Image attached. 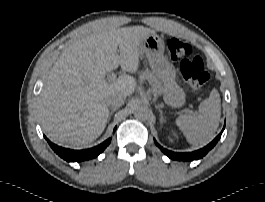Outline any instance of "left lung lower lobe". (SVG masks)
Returning <instances> with one entry per match:
<instances>
[{
    "label": "left lung lower lobe",
    "mask_w": 265,
    "mask_h": 202,
    "mask_svg": "<svg viewBox=\"0 0 265 202\" xmlns=\"http://www.w3.org/2000/svg\"><path fill=\"white\" fill-rule=\"evenodd\" d=\"M225 128V126H224ZM223 128V130H224ZM223 130L221 131V133L212 141L210 142L207 146H205L202 149L196 150L194 152H187V153H177V152H172L170 150H167L165 148H163L162 146H160L156 140L155 144L161 149V151L167 155L169 158L173 159V160H178V161H193V160H198L200 158H202L203 156H205L218 142V140L221 137V134L223 132Z\"/></svg>",
    "instance_id": "1"
}]
</instances>
